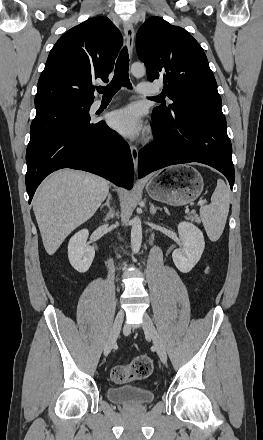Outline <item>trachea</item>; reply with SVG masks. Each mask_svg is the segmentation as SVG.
<instances>
[{"mask_svg":"<svg viewBox=\"0 0 263 440\" xmlns=\"http://www.w3.org/2000/svg\"><path fill=\"white\" fill-rule=\"evenodd\" d=\"M129 55L126 47L122 49L115 65V73L112 81L106 87H99L97 91L104 97H112L122 87L131 88L129 80ZM159 98V97H156Z\"/></svg>","mask_w":263,"mask_h":440,"instance_id":"3493384b","label":"trachea"}]
</instances>
